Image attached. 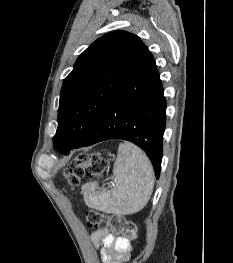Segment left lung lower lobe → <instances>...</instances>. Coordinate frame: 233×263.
Instances as JSON below:
<instances>
[{"label": "left lung lower lobe", "instance_id": "1", "mask_svg": "<svg viewBox=\"0 0 233 263\" xmlns=\"http://www.w3.org/2000/svg\"><path fill=\"white\" fill-rule=\"evenodd\" d=\"M166 100L155 60L148 51L109 102L82 143L54 138L56 150L69 154L71 149L108 139H124L143 149L159 178L162 139L166 123Z\"/></svg>", "mask_w": 233, "mask_h": 263}]
</instances>
